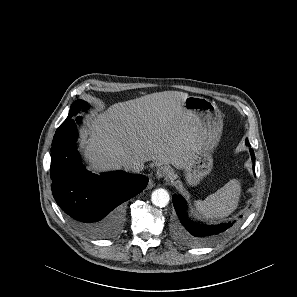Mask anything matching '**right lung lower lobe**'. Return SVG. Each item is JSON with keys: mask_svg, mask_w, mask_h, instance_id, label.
I'll return each instance as SVG.
<instances>
[{"mask_svg": "<svg viewBox=\"0 0 297 297\" xmlns=\"http://www.w3.org/2000/svg\"><path fill=\"white\" fill-rule=\"evenodd\" d=\"M81 117L66 120L56 130L51 147V189L74 226L91 238H108L123 223L121 204L142 192L143 175L115 171L97 176L86 170L76 148Z\"/></svg>", "mask_w": 297, "mask_h": 297, "instance_id": "98d812e1", "label": "right lung lower lobe"}]
</instances>
